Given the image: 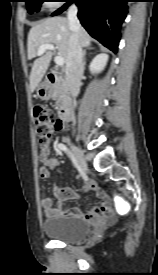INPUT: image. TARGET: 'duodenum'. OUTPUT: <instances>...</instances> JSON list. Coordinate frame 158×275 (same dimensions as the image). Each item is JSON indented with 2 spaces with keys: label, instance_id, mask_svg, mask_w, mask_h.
Masks as SVG:
<instances>
[{
  "label": "duodenum",
  "instance_id": "410a0bca",
  "mask_svg": "<svg viewBox=\"0 0 158 275\" xmlns=\"http://www.w3.org/2000/svg\"><path fill=\"white\" fill-rule=\"evenodd\" d=\"M46 81L49 84L54 83L56 81V74L54 72L48 73L46 76ZM72 115H73V110L71 105L66 104L60 108L59 117H60V122L62 124L69 122L72 119Z\"/></svg>",
  "mask_w": 158,
  "mask_h": 275
}]
</instances>
